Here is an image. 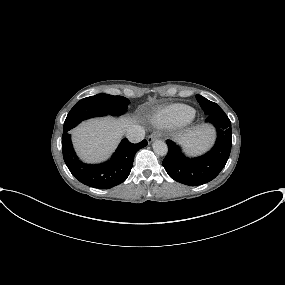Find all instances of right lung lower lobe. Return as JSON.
<instances>
[{"label":"right lung lower lobe","instance_id":"98d812e1","mask_svg":"<svg viewBox=\"0 0 285 285\" xmlns=\"http://www.w3.org/2000/svg\"><path fill=\"white\" fill-rule=\"evenodd\" d=\"M147 145V141L133 144L124 138L111 159L101 164H86L79 160L71 143L69 132H63L62 151L64 161L72 175L81 183L99 189L112 188L129 176L135 153Z\"/></svg>","mask_w":285,"mask_h":285}]
</instances>
